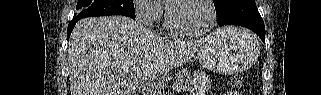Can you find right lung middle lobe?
I'll use <instances>...</instances> for the list:
<instances>
[{
  "label": "right lung middle lobe",
  "instance_id": "right-lung-middle-lobe-1",
  "mask_svg": "<svg viewBox=\"0 0 321 95\" xmlns=\"http://www.w3.org/2000/svg\"><path fill=\"white\" fill-rule=\"evenodd\" d=\"M76 9V19L110 15L135 18L134 4L131 0H79Z\"/></svg>",
  "mask_w": 321,
  "mask_h": 95
}]
</instances>
